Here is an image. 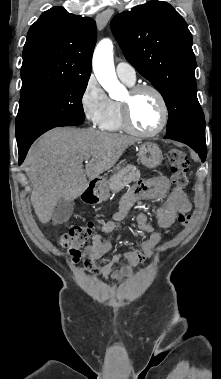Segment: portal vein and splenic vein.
Returning a JSON list of instances; mask_svg holds the SVG:
<instances>
[{
    "label": "portal vein and splenic vein",
    "instance_id": "portal-vein-and-splenic-vein-1",
    "mask_svg": "<svg viewBox=\"0 0 221 379\" xmlns=\"http://www.w3.org/2000/svg\"><path fill=\"white\" fill-rule=\"evenodd\" d=\"M85 162H86V163L88 162V158L85 160Z\"/></svg>",
    "mask_w": 221,
    "mask_h": 379
}]
</instances>
